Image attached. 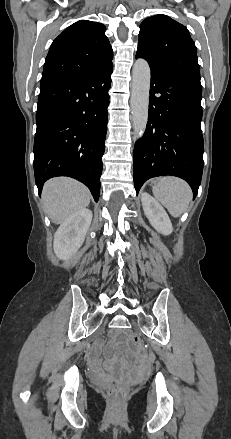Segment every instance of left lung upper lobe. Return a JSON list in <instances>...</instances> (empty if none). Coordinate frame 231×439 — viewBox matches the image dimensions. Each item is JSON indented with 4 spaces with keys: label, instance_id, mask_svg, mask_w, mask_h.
I'll use <instances>...</instances> for the list:
<instances>
[{
    "label": "left lung upper lobe",
    "instance_id": "5c2ea615",
    "mask_svg": "<svg viewBox=\"0 0 231 439\" xmlns=\"http://www.w3.org/2000/svg\"><path fill=\"white\" fill-rule=\"evenodd\" d=\"M136 57L146 59L151 68L200 76L197 50L189 31L162 14L141 23Z\"/></svg>",
    "mask_w": 231,
    "mask_h": 439
}]
</instances>
